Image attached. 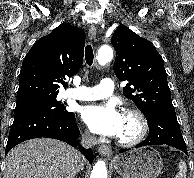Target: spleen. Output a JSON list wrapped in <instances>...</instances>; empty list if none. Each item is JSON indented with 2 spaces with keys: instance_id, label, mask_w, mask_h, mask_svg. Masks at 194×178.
<instances>
[{
  "instance_id": "1",
  "label": "spleen",
  "mask_w": 194,
  "mask_h": 178,
  "mask_svg": "<svg viewBox=\"0 0 194 178\" xmlns=\"http://www.w3.org/2000/svg\"><path fill=\"white\" fill-rule=\"evenodd\" d=\"M178 169H179V171H178L177 175L175 176V178H186L187 165H186L185 161H183V160L179 161Z\"/></svg>"
}]
</instances>
